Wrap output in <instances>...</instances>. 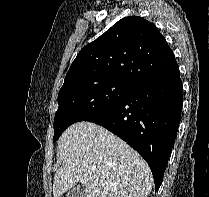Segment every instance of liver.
<instances>
[{
  "label": "liver",
  "mask_w": 209,
  "mask_h": 197,
  "mask_svg": "<svg viewBox=\"0 0 209 197\" xmlns=\"http://www.w3.org/2000/svg\"><path fill=\"white\" fill-rule=\"evenodd\" d=\"M53 196L77 183L84 197H147L153 177L145 160L121 138L92 122H77L61 135Z\"/></svg>",
  "instance_id": "obj_1"
}]
</instances>
